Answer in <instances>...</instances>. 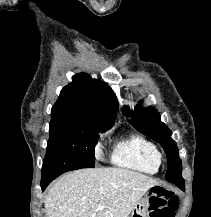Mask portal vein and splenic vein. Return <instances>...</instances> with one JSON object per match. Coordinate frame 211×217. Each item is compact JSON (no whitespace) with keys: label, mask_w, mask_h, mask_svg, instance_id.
Masks as SVG:
<instances>
[{"label":"portal vein and splenic vein","mask_w":211,"mask_h":217,"mask_svg":"<svg viewBox=\"0 0 211 217\" xmlns=\"http://www.w3.org/2000/svg\"><path fill=\"white\" fill-rule=\"evenodd\" d=\"M104 207L102 206V204L100 203L99 205H98V210H100V209H103Z\"/></svg>","instance_id":"portal-vein-and-splenic-vein-1"}]
</instances>
